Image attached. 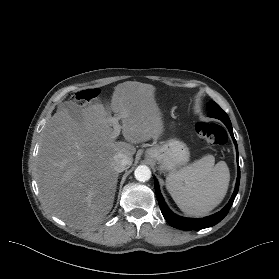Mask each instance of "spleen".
Returning <instances> with one entry per match:
<instances>
[{
  "mask_svg": "<svg viewBox=\"0 0 279 279\" xmlns=\"http://www.w3.org/2000/svg\"><path fill=\"white\" fill-rule=\"evenodd\" d=\"M230 172L224 161L215 164L207 155L193 164L169 173L166 188L177 206L187 215L202 217L224 199Z\"/></svg>",
  "mask_w": 279,
  "mask_h": 279,
  "instance_id": "1",
  "label": "spleen"
}]
</instances>
